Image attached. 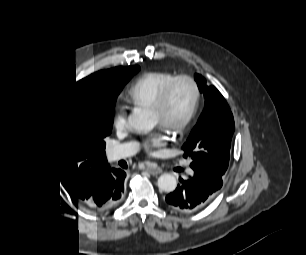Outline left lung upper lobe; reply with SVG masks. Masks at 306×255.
I'll list each match as a JSON object with an SVG mask.
<instances>
[{"mask_svg": "<svg viewBox=\"0 0 306 255\" xmlns=\"http://www.w3.org/2000/svg\"><path fill=\"white\" fill-rule=\"evenodd\" d=\"M199 90L204 94L205 109L183 145L184 158L192 160L191 168L205 166L220 176L228 168L229 150L235 124L224 97L214 86L195 74Z\"/></svg>", "mask_w": 306, "mask_h": 255, "instance_id": "1", "label": "left lung upper lobe"}]
</instances>
